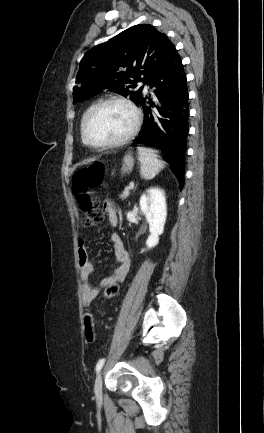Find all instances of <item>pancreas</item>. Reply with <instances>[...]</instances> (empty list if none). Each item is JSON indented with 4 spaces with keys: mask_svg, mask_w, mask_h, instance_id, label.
<instances>
[{
    "mask_svg": "<svg viewBox=\"0 0 264 433\" xmlns=\"http://www.w3.org/2000/svg\"><path fill=\"white\" fill-rule=\"evenodd\" d=\"M129 194H125V192H123V194L120 195V198L122 200L126 199L128 197Z\"/></svg>",
    "mask_w": 264,
    "mask_h": 433,
    "instance_id": "cf45deb5",
    "label": "pancreas"
}]
</instances>
